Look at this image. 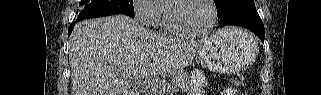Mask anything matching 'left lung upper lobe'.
Wrapping results in <instances>:
<instances>
[{
    "mask_svg": "<svg viewBox=\"0 0 321 95\" xmlns=\"http://www.w3.org/2000/svg\"><path fill=\"white\" fill-rule=\"evenodd\" d=\"M238 0H214L216 8H217V15L220 16L231 4Z\"/></svg>",
    "mask_w": 321,
    "mask_h": 95,
    "instance_id": "5c2ea615",
    "label": "left lung upper lobe"
}]
</instances>
